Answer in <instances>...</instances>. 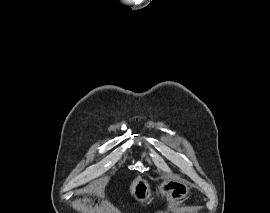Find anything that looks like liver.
Returning a JSON list of instances; mask_svg holds the SVG:
<instances>
[{
	"label": "liver",
	"mask_w": 270,
	"mask_h": 213,
	"mask_svg": "<svg viewBox=\"0 0 270 213\" xmlns=\"http://www.w3.org/2000/svg\"><path fill=\"white\" fill-rule=\"evenodd\" d=\"M138 180H139V179H135V180L132 182L131 186H130V191H131L132 193H133L134 186H135V184L137 183Z\"/></svg>",
	"instance_id": "obj_1"
}]
</instances>
